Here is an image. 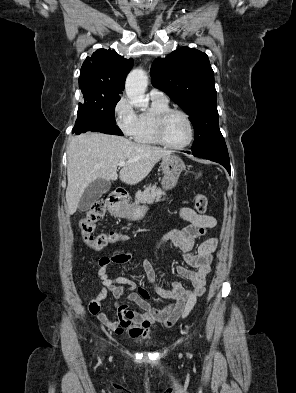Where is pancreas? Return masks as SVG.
I'll return each instance as SVG.
<instances>
[{"instance_id": "obj_1", "label": "pancreas", "mask_w": 296, "mask_h": 393, "mask_svg": "<svg viewBox=\"0 0 296 393\" xmlns=\"http://www.w3.org/2000/svg\"><path fill=\"white\" fill-rule=\"evenodd\" d=\"M164 193L156 186H148L144 191H138L135 196V204L153 203L161 200ZM164 200V199H163Z\"/></svg>"}]
</instances>
